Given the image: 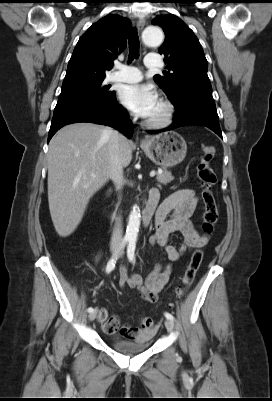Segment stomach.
Returning a JSON list of instances; mask_svg holds the SVG:
<instances>
[{"instance_id": "1", "label": "stomach", "mask_w": 272, "mask_h": 401, "mask_svg": "<svg viewBox=\"0 0 272 401\" xmlns=\"http://www.w3.org/2000/svg\"><path fill=\"white\" fill-rule=\"evenodd\" d=\"M141 148L153 162L163 167L179 164L187 152L184 138L175 131L153 136L142 143Z\"/></svg>"}]
</instances>
